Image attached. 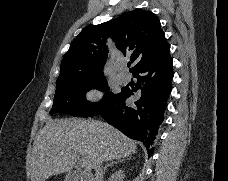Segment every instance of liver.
I'll use <instances>...</instances> for the list:
<instances>
[{"label": "liver", "mask_w": 228, "mask_h": 181, "mask_svg": "<svg viewBox=\"0 0 228 181\" xmlns=\"http://www.w3.org/2000/svg\"><path fill=\"white\" fill-rule=\"evenodd\" d=\"M136 149L135 141L101 121H47L34 141L31 181H47L53 175L69 173L77 159H82L85 173L90 175L97 161L125 159Z\"/></svg>", "instance_id": "obj_1"}]
</instances>
